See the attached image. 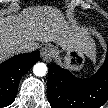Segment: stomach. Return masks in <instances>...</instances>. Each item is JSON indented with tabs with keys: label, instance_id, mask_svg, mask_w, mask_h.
<instances>
[{
	"label": "stomach",
	"instance_id": "obj_1",
	"mask_svg": "<svg viewBox=\"0 0 108 108\" xmlns=\"http://www.w3.org/2000/svg\"><path fill=\"white\" fill-rule=\"evenodd\" d=\"M64 50H65V54L63 55L62 64L63 66H65L66 68L72 71L81 70L86 62V58L94 57V55L90 56L88 53H85L75 48L64 49ZM53 51H54V55H53L54 58H57L62 53V51L56 47H53Z\"/></svg>",
	"mask_w": 108,
	"mask_h": 108
}]
</instances>
